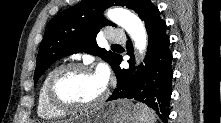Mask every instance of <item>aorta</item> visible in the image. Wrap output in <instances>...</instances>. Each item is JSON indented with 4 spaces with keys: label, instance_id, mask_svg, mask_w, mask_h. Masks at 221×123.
<instances>
[{
    "label": "aorta",
    "instance_id": "obj_1",
    "mask_svg": "<svg viewBox=\"0 0 221 123\" xmlns=\"http://www.w3.org/2000/svg\"><path fill=\"white\" fill-rule=\"evenodd\" d=\"M107 18L123 27L135 43V48L142 54L147 47V34L140 18L123 8L111 9Z\"/></svg>",
    "mask_w": 221,
    "mask_h": 123
}]
</instances>
